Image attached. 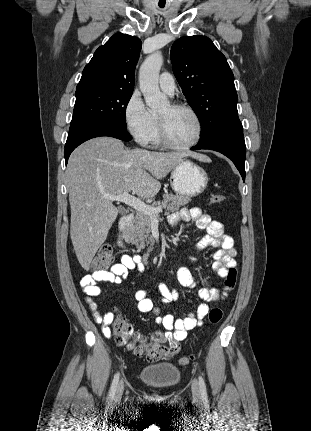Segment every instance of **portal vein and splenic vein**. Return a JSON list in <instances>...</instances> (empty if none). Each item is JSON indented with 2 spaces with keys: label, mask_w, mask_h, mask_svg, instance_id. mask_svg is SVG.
<instances>
[{
  "label": "portal vein and splenic vein",
  "mask_w": 311,
  "mask_h": 431,
  "mask_svg": "<svg viewBox=\"0 0 311 431\" xmlns=\"http://www.w3.org/2000/svg\"><path fill=\"white\" fill-rule=\"evenodd\" d=\"M106 200H112V202H123V204H127L133 210H137V212H144L147 216L150 217H158L160 212H163L162 206H158V208H151L148 204H144L142 200H138L135 196H130L128 192H123L120 196H103Z\"/></svg>",
  "instance_id": "obj_1"
}]
</instances>
